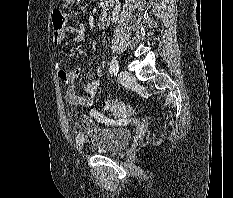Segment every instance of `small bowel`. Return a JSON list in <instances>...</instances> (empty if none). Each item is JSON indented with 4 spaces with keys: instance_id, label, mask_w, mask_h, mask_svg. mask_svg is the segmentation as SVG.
<instances>
[{
    "instance_id": "small-bowel-1",
    "label": "small bowel",
    "mask_w": 233,
    "mask_h": 198,
    "mask_svg": "<svg viewBox=\"0 0 233 198\" xmlns=\"http://www.w3.org/2000/svg\"><path fill=\"white\" fill-rule=\"evenodd\" d=\"M100 27H103V21L100 22ZM68 35L72 36L74 41H82L86 36L85 27L82 24L67 25L61 31L53 32V42L59 45ZM57 72L59 78L65 84V99L68 103L79 106L92 105L100 88L101 68L96 70L95 78L86 84L83 94L77 93L74 85L81 74V68L79 66H74L71 69H64L60 63H57ZM95 117L103 122L107 121V118L99 112H95Z\"/></svg>"
}]
</instances>
